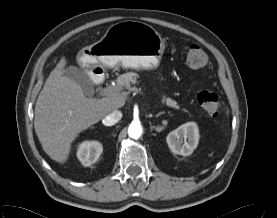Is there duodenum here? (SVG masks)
Returning <instances> with one entry per match:
<instances>
[{
	"label": "duodenum",
	"instance_id": "duodenum-1",
	"mask_svg": "<svg viewBox=\"0 0 277 218\" xmlns=\"http://www.w3.org/2000/svg\"><path fill=\"white\" fill-rule=\"evenodd\" d=\"M103 71L94 70L91 74V81L94 85H98L101 82Z\"/></svg>",
	"mask_w": 277,
	"mask_h": 218
}]
</instances>
